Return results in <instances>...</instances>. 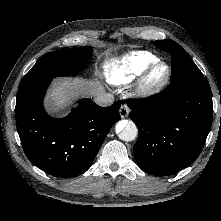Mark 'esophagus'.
<instances>
[{"label": "esophagus", "instance_id": "1", "mask_svg": "<svg viewBox=\"0 0 221 221\" xmlns=\"http://www.w3.org/2000/svg\"><path fill=\"white\" fill-rule=\"evenodd\" d=\"M119 114L121 116V118H126L128 117L129 114V108L126 104H121L120 110H119Z\"/></svg>", "mask_w": 221, "mask_h": 221}]
</instances>
